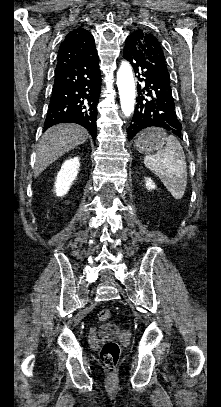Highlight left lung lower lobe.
Here are the masks:
<instances>
[{
  "instance_id": "obj_1",
  "label": "left lung lower lobe",
  "mask_w": 221,
  "mask_h": 407,
  "mask_svg": "<svg viewBox=\"0 0 221 407\" xmlns=\"http://www.w3.org/2000/svg\"><path fill=\"white\" fill-rule=\"evenodd\" d=\"M123 57L132 64L134 72L139 74L138 80L145 82L144 87L139 85L137 88V104L127 130L128 139H132L146 127L164 128L181 138L182 125L176 116L169 74L157 69L141 54L137 41L131 34L126 39Z\"/></svg>"
}]
</instances>
